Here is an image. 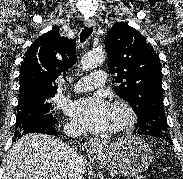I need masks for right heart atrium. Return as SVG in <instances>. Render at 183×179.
Wrapping results in <instances>:
<instances>
[{"mask_svg": "<svg viewBox=\"0 0 183 179\" xmlns=\"http://www.w3.org/2000/svg\"><path fill=\"white\" fill-rule=\"evenodd\" d=\"M66 129L70 132H75L79 130V127L75 123L71 122L66 125Z\"/></svg>", "mask_w": 183, "mask_h": 179, "instance_id": "d8ad5b80", "label": "right heart atrium"}]
</instances>
